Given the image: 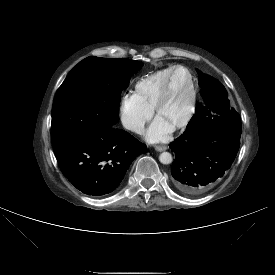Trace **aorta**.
<instances>
[{
  "instance_id": "obj_1",
  "label": "aorta",
  "mask_w": 275,
  "mask_h": 275,
  "mask_svg": "<svg viewBox=\"0 0 275 275\" xmlns=\"http://www.w3.org/2000/svg\"><path fill=\"white\" fill-rule=\"evenodd\" d=\"M159 161L162 163V164H170L172 163L173 161V158H172V155L169 153V152H163L160 154L159 156Z\"/></svg>"
}]
</instances>
